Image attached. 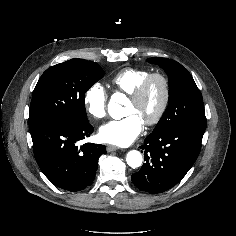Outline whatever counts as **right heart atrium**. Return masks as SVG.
Returning a JSON list of instances; mask_svg holds the SVG:
<instances>
[{"instance_id": "obj_1", "label": "right heart atrium", "mask_w": 236, "mask_h": 236, "mask_svg": "<svg viewBox=\"0 0 236 236\" xmlns=\"http://www.w3.org/2000/svg\"><path fill=\"white\" fill-rule=\"evenodd\" d=\"M84 105L88 114L94 119H101L106 115L107 93L100 83H94L86 90Z\"/></svg>"}]
</instances>
